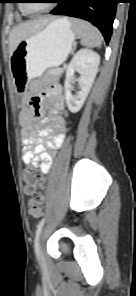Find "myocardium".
Wrapping results in <instances>:
<instances>
[{"mask_svg": "<svg viewBox=\"0 0 136 296\" xmlns=\"http://www.w3.org/2000/svg\"><path fill=\"white\" fill-rule=\"evenodd\" d=\"M23 6L27 12L32 14L43 12L49 8V7H43V8L37 9L32 7L30 3H27L26 1L23 3Z\"/></svg>", "mask_w": 136, "mask_h": 296, "instance_id": "obj_1", "label": "myocardium"}]
</instances>
